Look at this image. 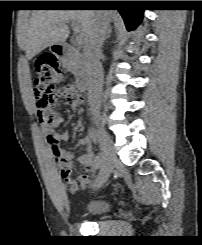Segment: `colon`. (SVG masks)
Listing matches in <instances>:
<instances>
[{
    "label": "colon",
    "instance_id": "colon-1",
    "mask_svg": "<svg viewBox=\"0 0 202 245\" xmlns=\"http://www.w3.org/2000/svg\"><path fill=\"white\" fill-rule=\"evenodd\" d=\"M34 100L37 114L43 124L52 122L51 111L55 97L66 99L70 109L80 106L79 94L73 85L65 82V76L58 59L53 55H45L33 65ZM53 153L61 151L60 141L53 137L49 142Z\"/></svg>",
    "mask_w": 202,
    "mask_h": 245
}]
</instances>
